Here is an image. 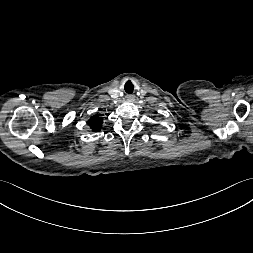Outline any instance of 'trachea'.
I'll return each mask as SVG.
<instances>
[{"label":"trachea","instance_id":"3493384b","mask_svg":"<svg viewBox=\"0 0 253 253\" xmlns=\"http://www.w3.org/2000/svg\"><path fill=\"white\" fill-rule=\"evenodd\" d=\"M134 90V85L132 84V82L130 80H128L126 83H125V91L126 93L128 94H131Z\"/></svg>","mask_w":253,"mask_h":253}]
</instances>
